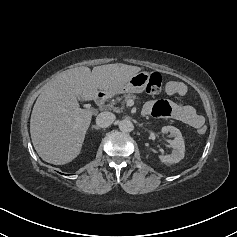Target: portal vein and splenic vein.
<instances>
[{"mask_svg": "<svg viewBox=\"0 0 237 237\" xmlns=\"http://www.w3.org/2000/svg\"><path fill=\"white\" fill-rule=\"evenodd\" d=\"M132 105H134V102L132 100H129L128 101V106H132Z\"/></svg>", "mask_w": 237, "mask_h": 237, "instance_id": "obj_1", "label": "portal vein and splenic vein"}]
</instances>
